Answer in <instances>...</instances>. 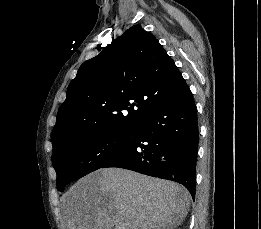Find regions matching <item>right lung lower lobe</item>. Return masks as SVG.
<instances>
[{
	"mask_svg": "<svg viewBox=\"0 0 261 229\" xmlns=\"http://www.w3.org/2000/svg\"><path fill=\"white\" fill-rule=\"evenodd\" d=\"M197 108L183 79L135 131L129 147L102 166L171 180L196 192Z\"/></svg>",
	"mask_w": 261,
	"mask_h": 229,
	"instance_id": "right-lung-lower-lobe-1",
	"label": "right lung lower lobe"
}]
</instances>
